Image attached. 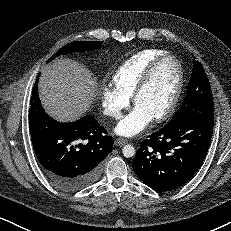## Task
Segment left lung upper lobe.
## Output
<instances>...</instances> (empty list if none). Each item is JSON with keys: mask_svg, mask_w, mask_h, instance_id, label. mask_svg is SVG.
<instances>
[{"mask_svg": "<svg viewBox=\"0 0 231 231\" xmlns=\"http://www.w3.org/2000/svg\"><path fill=\"white\" fill-rule=\"evenodd\" d=\"M190 111L199 113L214 112L210 83L202 65L198 61H194L186 96L171 121Z\"/></svg>", "mask_w": 231, "mask_h": 231, "instance_id": "1", "label": "left lung upper lobe"}]
</instances>
